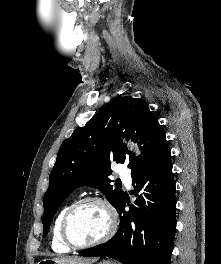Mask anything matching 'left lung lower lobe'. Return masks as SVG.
<instances>
[{
    "mask_svg": "<svg viewBox=\"0 0 221 264\" xmlns=\"http://www.w3.org/2000/svg\"><path fill=\"white\" fill-rule=\"evenodd\" d=\"M149 181L145 194L148 206L138 195ZM132 194L138 198L125 211L126 196L116 208L120 228L108 242L81 251L84 256H108L123 264H170L176 230L175 182L171 151L165 140L151 162L132 175ZM148 207V208H147Z\"/></svg>",
    "mask_w": 221,
    "mask_h": 264,
    "instance_id": "0a47b994",
    "label": "left lung lower lobe"
}]
</instances>
